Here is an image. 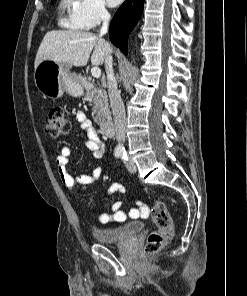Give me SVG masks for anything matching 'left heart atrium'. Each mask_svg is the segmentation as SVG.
Returning <instances> with one entry per match:
<instances>
[{
    "mask_svg": "<svg viewBox=\"0 0 247 296\" xmlns=\"http://www.w3.org/2000/svg\"><path fill=\"white\" fill-rule=\"evenodd\" d=\"M107 2L110 6L115 7L119 5L122 2V0H107Z\"/></svg>",
    "mask_w": 247,
    "mask_h": 296,
    "instance_id": "left-heart-atrium-1",
    "label": "left heart atrium"
}]
</instances>
